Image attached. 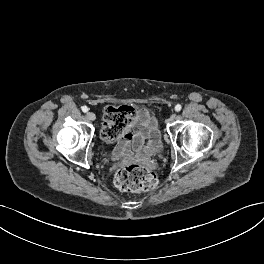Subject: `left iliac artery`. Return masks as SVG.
Here are the masks:
<instances>
[{"label":"left iliac artery","instance_id":"obj_1","mask_svg":"<svg viewBox=\"0 0 264 264\" xmlns=\"http://www.w3.org/2000/svg\"><path fill=\"white\" fill-rule=\"evenodd\" d=\"M181 108H182L181 105L180 104H177L175 106V111L179 112L181 110Z\"/></svg>","mask_w":264,"mask_h":264}]
</instances>
